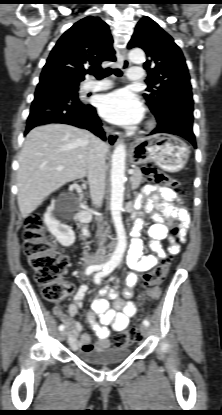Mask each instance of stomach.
Returning <instances> with one entry per match:
<instances>
[{
  "instance_id": "0dacf381",
  "label": "stomach",
  "mask_w": 222,
  "mask_h": 415,
  "mask_svg": "<svg viewBox=\"0 0 222 415\" xmlns=\"http://www.w3.org/2000/svg\"><path fill=\"white\" fill-rule=\"evenodd\" d=\"M190 150L180 138L169 134H157L136 141L130 151L134 164L155 162L169 172L180 171L189 159Z\"/></svg>"
}]
</instances>
